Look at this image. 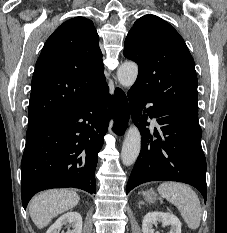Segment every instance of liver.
I'll use <instances>...</instances> for the list:
<instances>
[{"label":"liver","mask_w":227,"mask_h":233,"mask_svg":"<svg viewBox=\"0 0 227 233\" xmlns=\"http://www.w3.org/2000/svg\"><path fill=\"white\" fill-rule=\"evenodd\" d=\"M80 200L79 195L66 189L41 192L29 203V213L37 228L42 229L59 214L75 207Z\"/></svg>","instance_id":"obj_1"}]
</instances>
